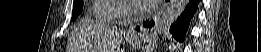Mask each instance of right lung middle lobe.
Segmentation results:
<instances>
[{"label": "right lung middle lobe", "mask_w": 261, "mask_h": 52, "mask_svg": "<svg viewBox=\"0 0 261 52\" xmlns=\"http://www.w3.org/2000/svg\"><path fill=\"white\" fill-rule=\"evenodd\" d=\"M82 7H83L82 0H79L73 4L72 20H74L76 18V16H78L80 11L82 10Z\"/></svg>", "instance_id": "1"}]
</instances>
